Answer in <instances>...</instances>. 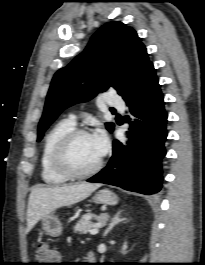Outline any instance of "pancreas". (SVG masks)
I'll list each match as a JSON object with an SVG mask.
<instances>
[{"label":"pancreas","mask_w":205,"mask_h":265,"mask_svg":"<svg viewBox=\"0 0 205 265\" xmlns=\"http://www.w3.org/2000/svg\"><path fill=\"white\" fill-rule=\"evenodd\" d=\"M95 215L91 213H87L81 217V219L76 223L74 227L75 233L85 234L91 230L95 225L91 222V219L94 218ZM107 218V214H101L97 217V220L100 223H104Z\"/></svg>","instance_id":"cf45deb5"}]
</instances>
